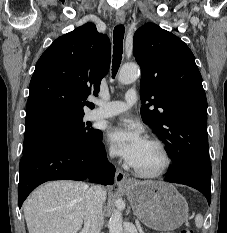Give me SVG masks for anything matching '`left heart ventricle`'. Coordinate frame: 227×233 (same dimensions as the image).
Listing matches in <instances>:
<instances>
[{"mask_svg":"<svg viewBox=\"0 0 227 233\" xmlns=\"http://www.w3.org/2000/svg\"><path fill=\"white\" fill-rule=\"evenodd\" d=\"M164 162L160 150L153 144L146 142L132 165L145 171H155L159 169Z\"/></svg>","mask_w":227,"mask_h":233,"instance_id":"b2bd125f","label":"left heart ventricle"}]
</instances>
